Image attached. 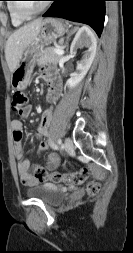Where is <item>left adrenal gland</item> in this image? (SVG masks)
Listing matches in <instances>:
<instances>
[{"mask_svg": "<svg viewBox=\"0 0 133 253\" xmlns=\"http://www.w3.org/2000/svg\"><path fill=\"white\" fill-rule=\"evenodd\" d=\"M76 30H77V28H74V29L72 30V32L68 35V37H69L72 33H74Z\"/></svg>", "mask_w": 133, "mask_h": 253, "instance_id": "left-adrenal-gland-1", "label": "left adrenal gland"}]
</instances>
